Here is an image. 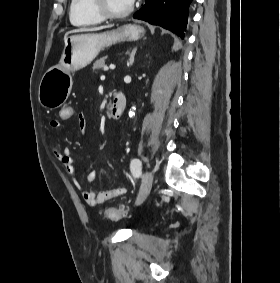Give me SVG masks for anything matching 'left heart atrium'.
<instances>
[{
    "label": "left heart atrium",
    "mask_w": 280,
    "mask_h": 283,
    "mask_svg": "<svg viewBox=\"0 0 280 283\" xmlns=\"http://www.w3.org/2000/svg\"><path fill=\"white\" fill-rule=\"evenodd\" d=\"M131 3L134 1V0H129Z\"/></svg>",
    "instance_id": "39dd6f15"
}]
</instances>
